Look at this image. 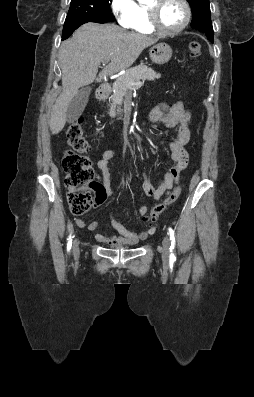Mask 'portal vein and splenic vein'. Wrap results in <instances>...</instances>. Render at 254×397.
Wrapping results in <instances>:
<instances>
[{
	"label": "portal vein and splenic vein",
	"instance_id": "18ae733b",
	"mask_svg": "<svg viewBox=\"0 0 254 397\" xmlns=\"http://www.w3.org/2000/svg\"><path fill=\"white\" fill-rule=\"evenodd\" d=\"M109 61H110V60L107 59V60L103 61L102 64H103V65H106ZM132 85L137 86V87H140V86L143 85V82L133 83Z\"/></svg>",
	"mask_w": 254,
	"mask_h": 397
}]
</instances>
